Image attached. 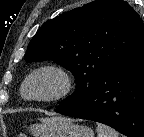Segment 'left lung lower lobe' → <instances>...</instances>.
<instances>
[{
	"mask_svg": "<svg viewBox=\"0 0 144 137\" xmlns=\"http://www.w3.org/2000/svg\"><path fill=\"white\" fill-rule=\"evenodd\" d=\"M56 112L109 125L128 137H144V30L84 99L60 104Z\"/></svg>",
	"mask_w": 144,
	"mask_h": 137,
	"instance_id": "obj_1",
	"label": "left lung lower lobe"
}]
</instances>
